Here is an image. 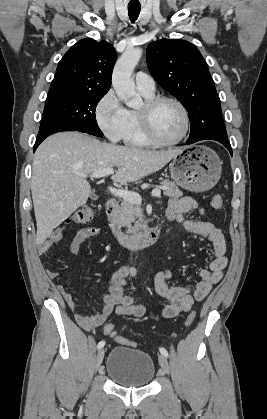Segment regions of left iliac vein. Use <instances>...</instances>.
Segmentation results:
<instances>
[{"label":"left iliac vein","mask_w":267,"mask_h":419,"mask_svg":"<svg viewBox=\"0 0 267 419\" xmlns=\"http://www.w3.org/2000/svg\"><path fill=\"white\" fill-rule=\"evenodd\" d=\"M159 364L166 374L170 373V366L167 358L164 355L159 356Z\"/></svg>","instance_id":"obj_1"}]
</instances>
